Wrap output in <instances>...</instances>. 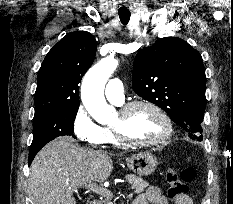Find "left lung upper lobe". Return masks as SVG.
I'll return each mask as SVG.
<instances>
[{"label": "left lung upper lobe", "instance_id": "5c2ea615", "mask_svg": "<svg viewBox=\"0 0 233 204\" xmlns=\"http://www.w3.org/2000/svg\"><path fill=\"white\" fill-rule=\"evenodd\" d=\"M132 85L162 108L189 136L203 139L206 76L200 53L180 38L158 39L136 55Z\"/></svg>", "mask_w": 233, "mask_h": 204}]
</instances>
